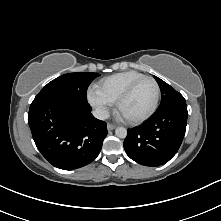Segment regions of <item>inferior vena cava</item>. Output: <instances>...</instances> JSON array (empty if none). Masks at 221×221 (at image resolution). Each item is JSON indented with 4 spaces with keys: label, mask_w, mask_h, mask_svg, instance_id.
I'll list each match as a JSON object with an SVG mask.
<instances>
[{
    "label": "inferior vena cava",
    "mask_w": 221,
    "mask_h": 221,
    "mask_svg": "<svg viewBox=\"0 0 221 221\" xmlns=\"http://www.w3.org/2000/svg\"><path fill=\"white\" fill-rule=\"evenodd\" d=\"M92 114L99 120H105L109 118V112L104 108H96L92 111Z\"/></svg>",
    "instance_id": "inferior-vena-cava-1"
}]
</instances>
